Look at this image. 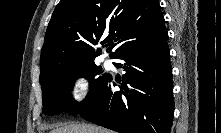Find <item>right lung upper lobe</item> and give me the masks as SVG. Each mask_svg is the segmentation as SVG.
<instances>
[{"label": "right lung upper lobe", "instance_id": "obj_1", "mask_svg": "<svg viewBox=\"0 0 221 133\" xmlns=\"http://www.w3.org/2000/svg\"><path fill=\"white\" fill-rule=\"evenodd\" d=\"M167 35L158 0H61L45 34L41 73L57 64L94 62L101 49L93 45L101 38L116 47L110 58H117Z\"/></svg>", "mask_w": 221, "mask_h": 133}]
</instances>
